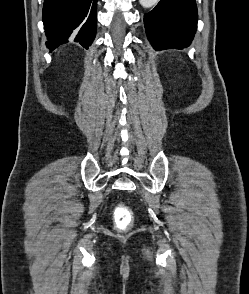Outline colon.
<instances>
[{
  "label": "colon",
  "instance_id": "obj_1",
  "mask_svg": "<svg viewBox=\"0 0 249 294\" xmlns=\"http://www.w3.org/2000/svg\"><path fill=\"white\" fill-rule=\"evenodd\" d=\"M131 223L129 211L124 206H117L115 210V225L119 229L127 228Z\"/></svg>",
  "mask_w": 249,
  "mask_h": 294
}]
</instances>
